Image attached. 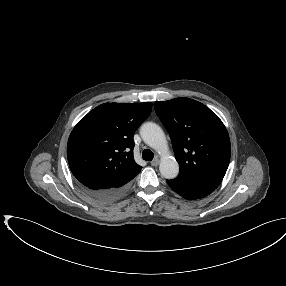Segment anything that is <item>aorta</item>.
I'll return each mask as SVG.
<instances>
[{"instance_id": "aorta-1", "label": "aorta", "mask_w": 286, "mask_h": 286, "mask_svg": "<svg viewBox=\"0 0 286 286\" xmlns=\"http://www.w3.org/2000/svg\"><path fill=\"white\" fill-rule=\"evenodd\" d=\"M140 135L143 141L156 150L161 156L159 170L166 179H174L179 173L176 159L168 154V142L161 127L155 123L147 122L141 126Z\"/></svg>"}]
</instances>
